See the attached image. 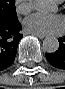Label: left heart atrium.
<instances>
[{
	"label": "left heart atrium",
	"mask_w": 65,
	"mask_h": 89,
	"mask_svg": "<svg viewBox=\"0 0 65 89\" xmlns=\"http://www.w3.org/2000/svg\"><path fill=\"white\" fill-rule=\"evenodd\" d=\"M23 24L27 32L37 35L60 33L64 27V21L60 16L42 13L28 16Z\"/></svg>",
	"instance_id": "obj_1"
}]
</instances>
